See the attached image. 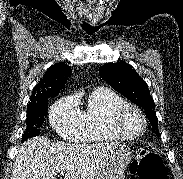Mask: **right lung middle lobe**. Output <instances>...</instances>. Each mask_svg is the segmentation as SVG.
I'll return each instance as SVG.
<instances>
[{
	"instance_id": "obj_1",
	"label": "right lung middle lobe",
	"mask_w": 183,
	"mask_h": 179,
	"mask_svg": "<svg viewBox=\"0 0 183 179\" xmlns=\"http://www.w3.org/2000/svg\"><path fill=\"white\" fill-rule=\"evenodd\" d=\"M27 108V127L22 136V142L40 134L39 128L42 126L45 120L44 117L47 115L48 102L45 100L41 104H34Z\"/></svg>"
}]
</instances>
